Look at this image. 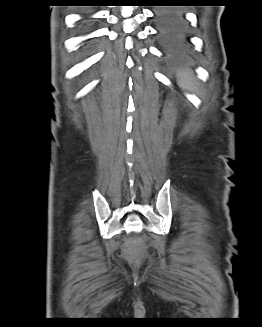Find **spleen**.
<instances>
[{
  "mask_svg": "<svg viewBox=\"0 0 262 327\" xmlns=\"http://www.w3.org/2000/svg\"><path fill=\"white\" fill-rule=\"evenodd\" d=\"M178 83L184 90L193 91L195 89V80L190 71L180 72Z\"/></svg>",
  "mask_w": 262,
  "mask_h": 327,
  "instance_id": "1",
  "label": "spleen"
}]
</instances>
